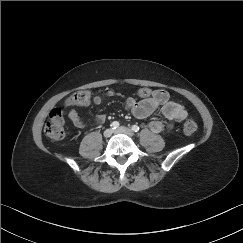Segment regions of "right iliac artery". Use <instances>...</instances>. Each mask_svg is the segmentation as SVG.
<instances>
[{
	"label": "right iliac artery",
	"instance_id": "right-iliac-artery-1",
	"mask_svg": "<svg viewBox=\"0 0 243 243\" xmlns=\"http://www.w3.org/2000/svg\"><path fill=\"white\" fill-rule=\"evenodd\" d=\"M110 127H111L112 129H116V128H118V127H119V122H117V121H113V122L111 123Z\"/></svg>",
	"mask_w": 243,
	"mask_h": 243
}]
</instances>
